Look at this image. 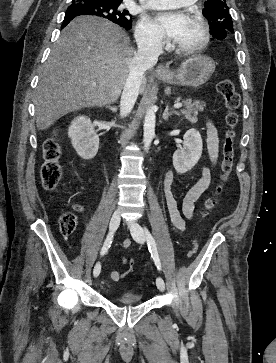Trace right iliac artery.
Wrapping results in <instances>:
<instances>
[{
  "label": "right iliac artery",
  "instance_id": "right-iliac-artery-1",
  "mask_svg": "<svg viewBox=\"0 0 276 363\" xmlns=\"http://www.w3.org/2000/svg\"><path fill=\"white\" fill-rule=\"evenodd\" d=\"M112 240H113V233H109L104 244L103 247L101 249V256H103L104 254H106V252L108 251V249L110 248L111 244H112ZM101 271V266L99 267V269L96 271L97 275L100 274Z\"/></svg>",
  "mask_w": 276,
  "mask_h": 363
}]
</instances>
